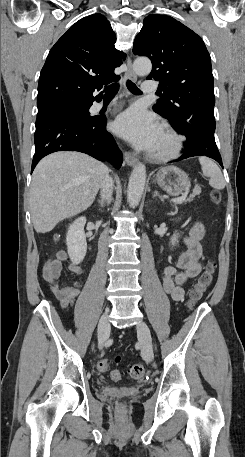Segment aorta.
Segmentation results:
<instances>
[{"instance_id": "762f6f07", "label": "aorta", "mask_w": 245, "mask_h": 457, "mask_svg": "<svg viewBox=\"0 0 245 457\" xmlns=\"http://www.w3.org/2000/svg\"><path fill=\"white\" fill-rule=\"evenodd\" d=\"M133 70L139 76L148 75L152 70L151 61L148 58H137L133 63ZM146 182V167L139 163L131 173L127 189V201L129 206L135 208L143 195Z\"/></svg>"}]
</instances>
